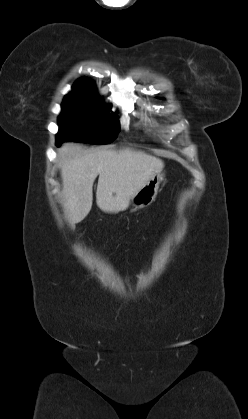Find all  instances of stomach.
<instances>
[{"instance_id": "stomach-1", "label": "stomach", "mask_w": 248, "mask_h": 419, "mask_svg": "<svg viewBox=\"0 0 248 419\" xmlns=\"http://www.w3.org/2000/svg\"><path fill=\"white\" fill-rule=\"evenodd\" d=\"M164 178L162 172L156 173L132 198L131 204L135 208H144L150 205L158 192L160 183Z\"/></svg>"}]
</instances>
